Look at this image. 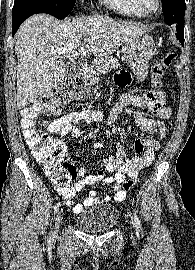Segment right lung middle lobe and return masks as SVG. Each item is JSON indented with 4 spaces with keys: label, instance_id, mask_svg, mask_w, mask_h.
Segmentation results:
<instances>
[{
    "label": "right lung middle lobe",
    "instance_id": "obj_1",
    "mask_svg": "<svg viewBox=\"0 0 195 270\" xmlns=\"http://www.w3.org/2000/svg\"><path fill=\"white\" fill-rule=\"evenodd\" d=\"M76 0H15L16 5H32L44 10L45 13L63 19L72 11Z\"/></svg>",
    "mask_w": 195,
    "mask_h": 270
}]
</instances>
